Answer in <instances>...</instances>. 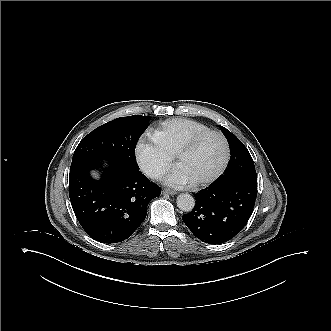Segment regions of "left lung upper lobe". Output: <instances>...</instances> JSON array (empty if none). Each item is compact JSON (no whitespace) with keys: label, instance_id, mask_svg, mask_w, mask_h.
Returning <instances> with one entry per match:
<instances>
[{"label":"left lung upper lobe","instance_id":"left-lung-upper-lobe-1","mask_svg":"<svg viewBox=\"0 0 331 331\" xmlns=\"http://www.w3.org/2000/svg\"><path fill=\"white\" fill-rule=\"evenodd\" d=\"M220 129L229 143L231 158L226 172L219 182H223L234 177H246L252 180H257L253 159L247 148L226 128L220 126Z\"/></svg>","mask_w":331,"mask_h":331}]
</instances>
